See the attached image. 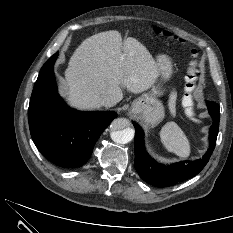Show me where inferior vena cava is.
<instances>
[{
    "label": "inferior vena cava",
    "instance_id": "obj_1",
    "mask_svg": "<svg viewBox=\"0 0 233 233\" xmlns=\"http://www.w3.org/2000/svg\"><path fill=\"white\" fill-rule=\"evenodd\" d=\"M101 105L105 107H112L115 105V100L111 96H106L101 99Z\"/></svg>",
    "mask_w": 233,
    "mask_h": 233
}]
</instances>
